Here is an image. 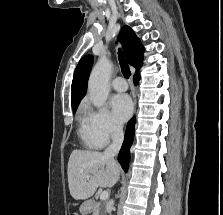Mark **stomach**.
<instances>
[{
  "label": "stomach",
  "mask_w": 223,
  "mask_h": 215,
  "mask_svg": "<svg viewBox=\"0 0 223 215\" xmlns=\"http://www.w3.org/2000/svg\"><path fill=\"white\" fill-rule=\"evenodd\" d=\"M92 206V202H85L83 201L82 205H80V211L83 213V215H87V213H91L92 209L90 208Z\"/></svg>",
  "instance_id": "0dacf381"
}]
</instances>
